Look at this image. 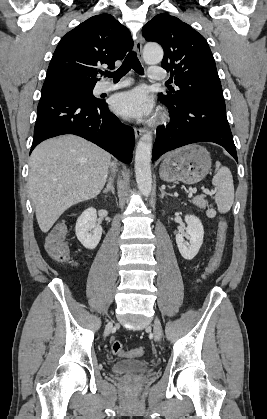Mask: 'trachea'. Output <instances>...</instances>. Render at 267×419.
<instances>
[{
    "mask_svg": "<svg viewBox=\"0 0 267 419\" xmlns=\"http://www.w3.org/2000/svg\"><path fill=\"white\" fill-rule=\"evenodd\" d=\"M131 69L137 72L140 75L144 74L143 67L136 55L135 52H130L124 59L122 65L115 72L106 71L104 74L108 77H112L115 81L119 80L125 74H127Z\"/></svg>",
    "mask_w": 267,
    "mask_h": 419,
    "instance_id": "obj_1",
    "label": "trachea"
}]
</instances>
